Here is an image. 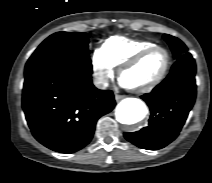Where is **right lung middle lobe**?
I'll list each match as a JSON object with an SVG mask.
<instances>
[{"label":"right lung middle lobe","mask_w":212,"mask_h":183,"mask_svg":"<svg viewBox=\"0 0 212 183\" xmlns=\"http://www.w3.org/2000/svg\"><path fill=\"white\" fill-rule=\"evenodd\" d=\"M87 33L83 32H57L45 39L28 62L43 59H89Z\"/></svg>","instance_id":"1"}]
</instances>
